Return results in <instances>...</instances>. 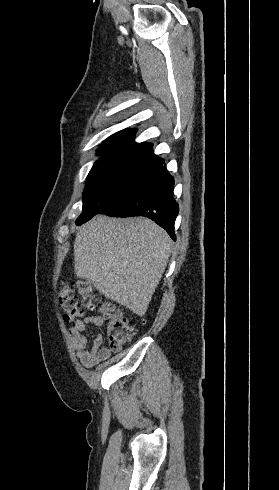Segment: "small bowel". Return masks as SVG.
<instances>
[{
    "mask_svg": "<svg viewBox=\"0 0 279 490\" xmlns=\"http://www.w3.org/2000/svg\"><path fill=\"white\" fill-rule=\"evenodd\" d=\"M105 319L101 316L88 315L74 322L69 331V340L71 346L76 350L77 356L81 363L88 368L107 360L111 356V350L102 347L104 342L103 334L99 333L93 340L92 346H88L85 331L89 324L102 326Z\"/></svg>",
    "mask_w": 279,
    "mask_h": 490,
    "instance_id": "1",
    "label": "small bowel"
}]
</instances>
